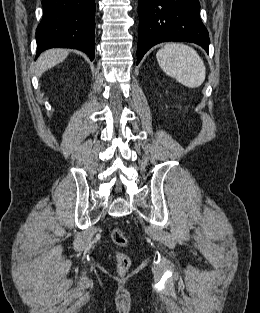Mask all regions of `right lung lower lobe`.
<instances>
[{"label":"right lung lower lobe","mask_w":260,"mask_h":313,"mask_svg":"<svg viewBox=\"0 0 260 313\" xmlns=\"http://www.w3.org/2000/svg\"><path fill=\"white\" fill-rule=\"evenodd\" d=\"M43 18L36 30L37 55L52 47L95 50L94 0H42Z\"/></svg>","instance_id":"obj_1"}]
</instances>
